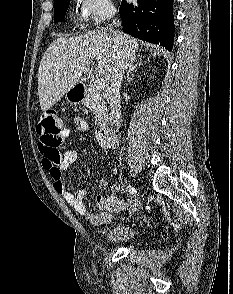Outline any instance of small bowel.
Masks as SVG:
<instances>
[{
  "instance_id": "c3829d8e",
  "label": "small bowel",
  "mask_w": 233,
  "mask_h": 294,
  "mask_svg": "<svg viewBox=\"0 0 233 294\" xmlns=\"http://www.w3.org/2000/svg\"><path fill=\"white\" fill-rule=\"evenodd\" d=\"M75 128L77 131L83 132L88 128L87 122L80 117L75 118ZM72 134V130L66 128L62 132V138L66 139ZM77 160L76 149H59V156H46L43 154L42 166L45 171L48 172L51 180L53 181V187L57 193H59L64 200L69 204L78 214L84 216L93 225H102L107 223L111 219V213L104 211L98 214H92L87 211L84 204L86 197V191L83 189L70 192L63 184L61 173L68 169ZM97 187L99 190H105L108 187V182L105 179L98 181ZM118 200V198L109 195H99L95 199V204L100 209H107L105 202L107 200ZM124 206L123 202L120 201Z\"/></svg>"
}]
</instances>
